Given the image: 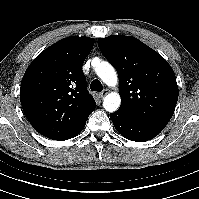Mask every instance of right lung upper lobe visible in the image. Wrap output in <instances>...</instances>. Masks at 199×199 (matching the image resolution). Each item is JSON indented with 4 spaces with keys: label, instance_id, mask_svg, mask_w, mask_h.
Segmentation results:
<instances>
[{
    "label": "right lung upper lobe",
    "instance_id": "obj_1",
    "mask_svg": "<svg viewBox=\"0 0 199 199\" xmlns=\"http://www.w3.org/2000/svg\"><path fill=\"white\" fill-rule=\"evenodd\" d=\"M94 45L89 37H68L41 52L27 68L20 100L33 128L63 140L78 133L96 103L86 89L82 65Z\"/></svg>",
    "mask_w": 199,
    "mask_h": 199
}]
</instances>
